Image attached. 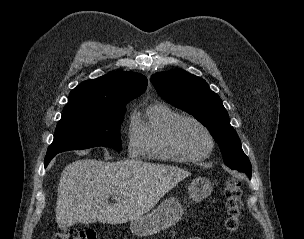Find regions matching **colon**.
<instances>
[{
  "label": "colon",
  "instance_id": "5ec220e1",
  "mask_svg": "<svg viewBox=\"0 0 304 239\" xmlns=\"http://www.w3.org/2000/svg\"><path fill=\"white\" fill-rule=\"evenodd\" d=\"M227 216L225 226L228 231L235 232L241 225L243 201L242 184L238 179L228 180L223 189ZM53 239H98V233L94 230H64L57 232Z\"/></svg>",
  "mask_w": 304,
  "mask_h": 239
}]
</instances>
